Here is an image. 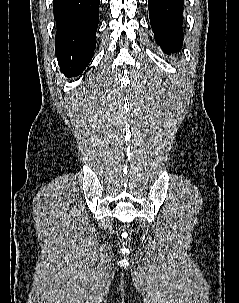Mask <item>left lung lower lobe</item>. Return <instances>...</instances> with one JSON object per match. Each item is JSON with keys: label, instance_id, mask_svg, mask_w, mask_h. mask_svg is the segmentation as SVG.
Here are the masks:
<instances>
[{"label": "left lung lower lobe", "instance_id": "0a47b994", "mask_svg": "<svg viewBox=\"0 0 239 303\" xmlns=\"http://www.w3.org/2000/svg\"><path fill=\"white\" fill-rule=\"evenodd\" d=\"M183 5V0H148L151 27L157 43L165 53L181 49Z\"/></svg>", "mask_w": 239, "mask_h": 303}]
</instances>
